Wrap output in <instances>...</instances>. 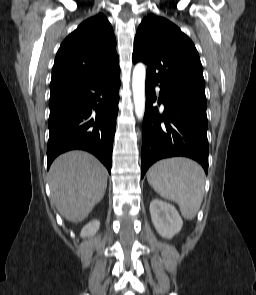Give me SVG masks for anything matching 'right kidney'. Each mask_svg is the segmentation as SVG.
<instances>
[{
	"label": "right kidney",
	"instance_id": "1",
	"mask_svg": "<svg viewBox=\"0 0 256 295\" xmlns=\"http://www.w3.org/2000/svg\"><path fill=\"white\" fill-rule=\"evenodd\" d=\"M100 222L98 220H92L86 224L81 230V237H91L99 230Z\"/></svg>",
	"mask_w": 256,
	"mask_h": 295
}]
</instances>
